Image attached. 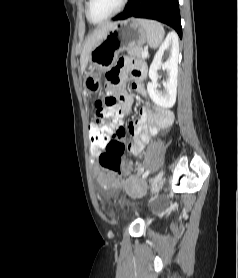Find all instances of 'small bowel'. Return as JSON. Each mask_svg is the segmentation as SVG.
<instances>
[{
  "label": "small bowel",
  "mask_w": 238,
  "mask_h": 278,
  "mask_svg": "<svg viewBox=\"0 0 238 278\" xmlns=\"http://www.w3.org/2000/svg\"><path fill=\"white\" fill-rule=\"evenodd\" d=\"M113 63L114 64H111L110 67H107L105 76H107L106 80L110 81V85H114V88L119 91V93H115V98H118V102H120L119 117H123L130 114L133 99L126 91H124V89H126V84L124 83L127 80V76L124 74L122 75V72H124V68L129 70L133 79L131 86L132 91L141 96H146L147 91L141 83V80L147 73V67L144 63L128 59V55H117V59H114ZM172 121L173 113L170 110L161 107H143L139 112L137 121L130 123L128 128L123 127L119 121V127L114 128L115 132L108 140L109 144H120L121 142H124L125 144L129 143V145L126 144L128 152L131 155H139L144 151L150 137L160 128L170 125ZM94 124H103V121L96 116V122ZM127 131L132 138H124L125 132ZM92 136L93 135H91V137ZM106 171L107 173L104 174L101 179L103 185L113 187L125 185V183L116 182L112 177L113 173L108 170Z\"/></svg>",
  "instance_id": "obj_1"
}]
</instances>
